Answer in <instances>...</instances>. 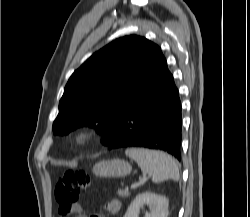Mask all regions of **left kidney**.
Instances as JSON below:
<instances>
[{
  "instance_id": "1",
  "label": "left kidney",
  "mask_w": 250,
  "mask_h": 217,
  "mask_svg": "<svg viewBox=\"0 0 250 217\" xmlns=\"http://www.w3.org/2000/svg\"><path fill=\"white\" fill-rule=\"evenodd\" d=\"M147 205L150 212L145 217H168V199L152 192H144L136 196L128 207L124 217H138L140 209Z\"/></svg>"
}]
</instances>
